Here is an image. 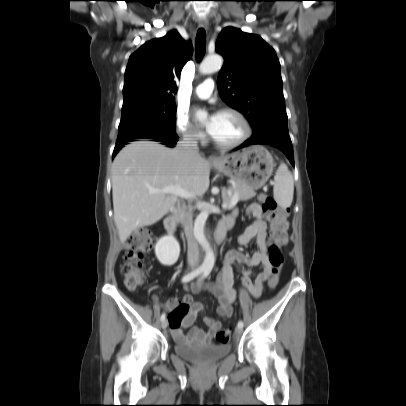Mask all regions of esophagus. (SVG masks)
<instances>
[{
    "label": "esophagus",
    "instance_id": "obj_1",
    "mask_svg": "<svg viewBox=\"0 0 406 406\" xmlns=\"http://www.w3.org/2000/svg\"><path fill=\"white\" fill-rule=\"evenodd\" d=\"M199 26L201 28L207 29L208 28V21L207 20H200L199 21ZM208 161L210 163H217V162H219V159L216 156L211 155V156H209Z\"/></svg>",
    "mask_w": 406,
    "mask_h": 406
}]
</instances>
